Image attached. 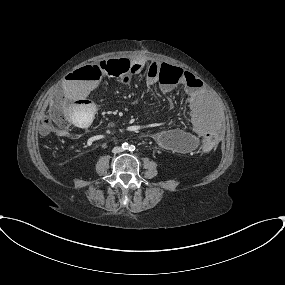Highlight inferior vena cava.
<instances>
[{"label":"inferior vena cava","instance_id":"602c4592","mask_svg":"<svg viewBox=\"0 0 285 285\" xmlns=\"http://www.w3.org/2000/svg\"><path fill=\"white\" fill-rule=\"evenodd\" d=\"M122 151H123V149L121 147H114L113 150H112V152L115 153V154L116 153H120Z\"/></svg>","mask_w":285,"mask_h":285}]
</instances>
